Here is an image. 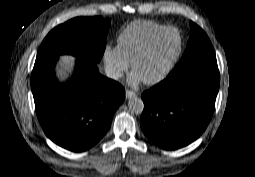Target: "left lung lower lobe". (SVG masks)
I'll return each mask as SVG.
<instances>
[{"label": "left lung lower lobe", "instance_id": "obj_1", "mask_svg": "<svg viewBox=\"0 0 255 177\" xmlns=\"http://www.w3.org/2000/svg\"><path fill=\"white\" fill-rule=\"evenodd\" d=\"M218 89L217 63L194 65L168 76L142 94L144 134L163 149L190 144L210 122Z\"/></svg>", "mask_w": 255, "mask_h": 177}]
</instances>
